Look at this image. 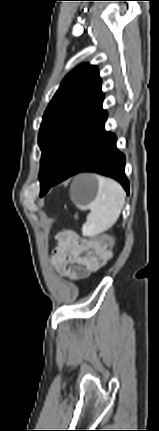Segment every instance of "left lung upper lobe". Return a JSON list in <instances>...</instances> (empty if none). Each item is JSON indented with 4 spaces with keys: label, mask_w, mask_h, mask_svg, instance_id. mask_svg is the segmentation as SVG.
<instances>
[{
    "label": "left lung upper lobe",
    "mask_w": 159,
    "mask_h": 431,
    "mask_svg": "<svg viewBox=\"0 0 159 431\" xmlns=\"http://www.w3.org/2000/svg\"><path fill=\"white\" fill-rule=\"evenodd\" d=\"M104 94L96 66L81 64L62 81L42 119L40 184L44 191L57 175L74 139L103 114Z\"/></svg>",
    "instance_id": "1"
}]
</instances>
